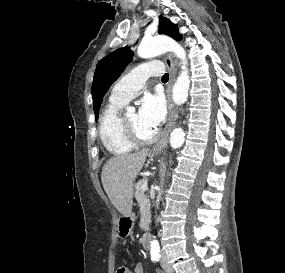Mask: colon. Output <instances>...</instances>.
I'll return each mask as SVG.
<instances>
[{
    "label": "colon",
    "instance_id": "obj_1",
    "mask_svg": "<svg viewBox=\"0 0 285 273\" xmlns=\"http://www.w3.org/2000/svg\"><path fill=\"white\" fill-rule=\"evenodd\" d=\"M129 270L126 267H119L116 273H128Z\"/></svg>",
    "mask_w": 285,
    "mask_h": 273
}]
</instances>
